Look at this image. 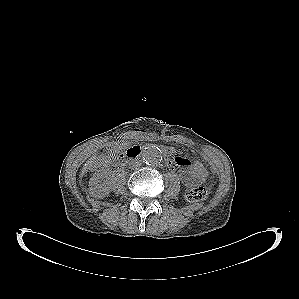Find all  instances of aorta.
<instances>
[{
  "instance_id": "762f6f07",
  "label": "aorta",
  "mask_w": 299,
  "mask_h": 299,
  "mask_svg": "<svg viewBox=\"0 0 299 299\" xmlns=\"http://www.w3.org/2000/svg\"><path fill=\"white\" fill-rule=\"evenodd\" d=\"M162 151L155 145H148L143 149L142 158L148 165H158L162 161Z\"/></svg>"
}]
</instances>
